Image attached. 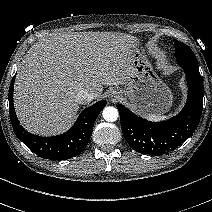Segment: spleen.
Here are the masks:
<instances>
[{"mask_svg": "<svg viewBox=\"0 0 212 212\" xmlns=\"http://www.w3.org/2000/svg\"><path fill=\"white\" fill-rule=\"evenodd\" d=\"M172 114H169L167 116L165 115H160V114H149L146 116L147 119L152 120V121H160V120H166L170 118Z\"/></svg>", "mask_w": 212, "mask_h": 212, "instance_id": "obj_1", "label": "spleen"}]
</instances>
